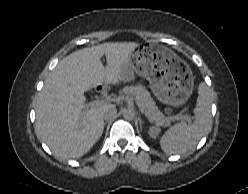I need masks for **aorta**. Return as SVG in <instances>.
Listing matches in <instances>:
<instances>
[{
  "mask_svg": "<svg viewBox=\"0 0 248 194\" xmlns=\"http://www.w3.org/2000/svg\"><path fill=\"white\" fill-rule=\"evenodd\" d=\"M134 112L132 110H125L123 113V117L125 120H133L134 119Z\"/></svg>",
  "mask_w": 248,
  "mask_h": 194,
  "instance_id": "aorta-1",
  "label": "aorta"
}]
</instances>
